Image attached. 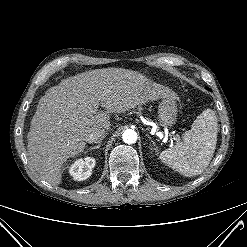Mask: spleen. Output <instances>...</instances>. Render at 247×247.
Returning <instances> with one entry per match:
<instances>
[{
	"label": "spleen",
	"mask_w": 247,
	"mask_h": 247,
	"mask_svg": "<svg viewBox=\"0 0 247 247\" xmlns=\"http://www.w3.org/2000/svg\"><path fill=\"white\" fill-rule=\"evenodd\" d=\"M218 123L215 112L204 110L182 136V142L161 152L159 159L186 177L201 174L216 148Z\"/></svg>",
	"instance_id": "obj_1"
}]
</instances>
